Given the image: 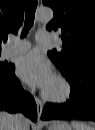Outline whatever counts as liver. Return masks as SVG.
<instances>
[{
	"mask_svg": "<svg viewBox=\"0 0 95 130\" xmlns=\"http://www.w3.org/2000/svg\"><path fill=\"white\" fill-rule=\"evenodd\" d=\"M13 115L1 111L0 112V130H14ZM30 122L28 119L24 118L21 123V130H29Z\"/></svg>",
	"mask_w": 95,
	"mask_h": 130,
	"instance_id": "6515ba94",
	"label": "liver"
}]
</instances>
